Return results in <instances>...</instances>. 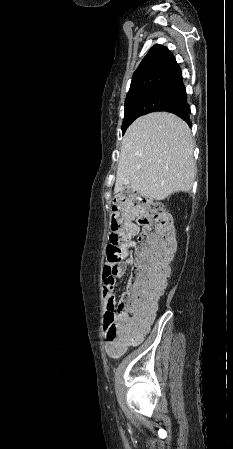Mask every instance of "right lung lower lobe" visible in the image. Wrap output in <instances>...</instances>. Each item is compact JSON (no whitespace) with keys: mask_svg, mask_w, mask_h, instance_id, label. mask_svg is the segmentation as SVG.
Here are the masks:
<instances>
[{"mask_svg":"<svg viewBox=\"0 0 233 449\" xmlns=\"http://www.w3.org/2000/svg\"><path fill=\"white\" fill-rule=\"evenodd\" d=\"M183 91L185 92V89ZM159 111L173 113L185 120L191 126L189 118L190 106L187 103L186 93L183 99L179 100L178 102L168 104L161 108Z\"/></svg>","mask_w":233,"mask_h":449,"instance_id":"98d812e1","label":"right lung lower lobe"}]
</instances>
